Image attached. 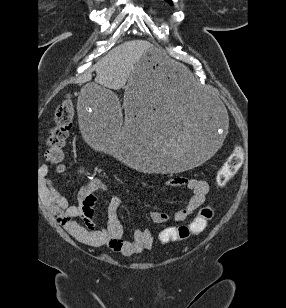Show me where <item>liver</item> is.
I'll return each mask as SVG.
<instances>
[{
  "instance_id": "obj_1",
  "label": "liver",
  "mask_w": 286,
  "mask_h": 308,
  "mask_svg": "<svg viewBox=\"0 0 286 308\" xmlns=\"http://www.w3.org/2000/svg\"><path fill=\"white\" fill-rule=\"evenodd\" d=\"M148 51H156L154 46L143 40L124 42L99 60L94 67L83 74L78 82L92 79L91 71H96L95 83L112 90L123 88L129 79L135 64Z\"/></svg>"
}]
</instances>
